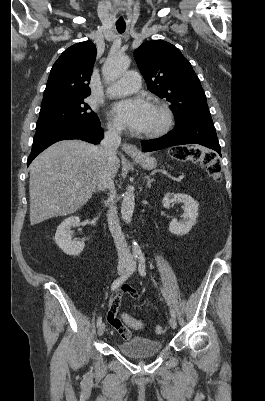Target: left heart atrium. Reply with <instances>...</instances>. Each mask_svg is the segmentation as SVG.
Returning <instances> with one entry per match:
<instances>
[{
    "label": "left heart atrium",
    "instance_id": "left-heart-atrium-1",
    "mask_svg": "<svg viewBox=\"0 0 265 401\" xmlns=\"http://www.w3.org/2000/svg\"><path fill=\"white\" fill-rule=\"evenodd\" d=\"M150 108L151 105L142 98L123 99L111 105L110 115L120 125L133 130H142Z\"/></svg>",
    "mask_w": 265,
    "mask_h": 401
}]
</instances>
